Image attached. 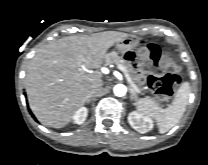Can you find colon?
<instances>
[{"mask_svg":"<svg viewBox=\"0 0 208 165\" xmlns=\"http://www.w3.org/2000/svg\"><path fill=\"white\" fill-rule=\"evenodd\" d=\"M143 68L149 74L150 88L162 100L170 98L180 82V65L170 53L156 44H143L138 49ZM163 66L169 71H163Z\"/></svg>","mask_w":208,"mask_h":165,"instance_id":"1","label":"colon"}]
</instances>
